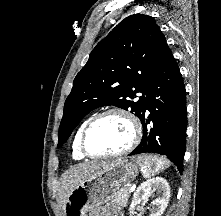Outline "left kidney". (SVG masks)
<instances>
[{"label":"left kidney","mask_w":221,"mask_h":216,"mask_svg":"<svg viewBox=\"0 0 221 216\" xmlns=\"http://www.w3.org/2000/svg\"><path fill=\"white\" fill-rule=\"evenodd\" d=\"M156 192L158 197L152 202L150 216H161L169 201L170 187L168 182L162 177H155L143 182L135 191L130 205V216L134 215L135 207L145 201L148 196Z\"/></svg>","instance_id":"5707ae66"}]
</instances>
